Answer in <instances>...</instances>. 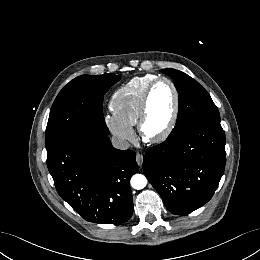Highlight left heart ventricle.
<instances>
[{"label":"left heart ventricle","instance_id":"1","mask_svg":"<svg viewBox=\"0 0 260 260\" xmlns=\"http://www.w3.org/2000/svg\"><path fill=\"white\" fill-rule=\"evenodd\" d=\"M173 109V90L168 83L160 82L150 98L148 115L144 124L145 133L155 136L163 132L171 119Z\"/></svg>","mask_w":260,"mask_h":260}]
</instances>
